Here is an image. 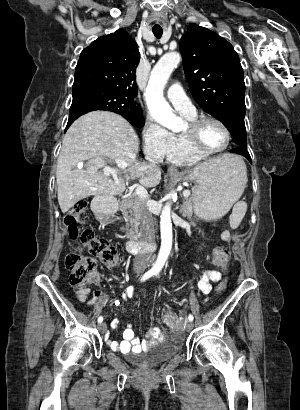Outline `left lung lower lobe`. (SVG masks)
Wrapping results in <instances>:
<instances>
[{
    "label": "left lung lower lobe",
    "instance_id": "0a47b994",
    "mask_svg": "<svg viewBox=\"0 0 300 410\" xmlns=\"http://www.w3.org/2000/svg\"><path fill=\"white\" fill-rule=\"evenodd\" d=\"M231 152L232 153H238V154H241V155L245 156L250 161V163H252L251 162V157H250L249 153L247 152V150L245 148L237 147V148L231 150Z\"/></svg>",
    "mask_w": 300,
    "mask_h": 410
}]
</instances>
